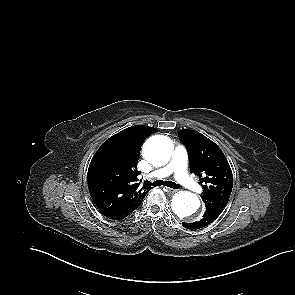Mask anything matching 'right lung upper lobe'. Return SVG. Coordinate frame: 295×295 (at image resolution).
Wrapping results in <instances>:
<instances>
[{
  "label": "right lung upper lobe",
  "mask_w": 295,
  "mask_h": 295,
  "mask_svg": "<svg viewBox=\"0 0 295 295\" xmlns=\"http://www.w3.org/2000/svg\"><path fill=\"white\" fill-rule=\"evenodd\" d=\"M157 129L144 125L126 128L107 139L88 168V189L101 211L120 212L141 204L151 189L137 183L136 170L143 141Z\"/></svg>",
  "instance_id": "right-lung-upper-lobe-1"
}]
</instances>
